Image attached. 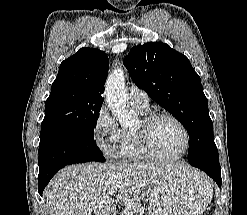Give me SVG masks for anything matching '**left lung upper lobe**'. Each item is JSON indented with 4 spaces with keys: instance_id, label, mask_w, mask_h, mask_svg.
Segmentation results:
<instances>
[{
    "instance_id": "left-lung-upper-lobe-1",
    "label": "left lung upper lobe",
    "mask_w": 247,
    "mask_h": 215,
    "mask_svg": "<svg viewBox=\"0 0 247 215\" xmlns=\"http://www.w3.org/2000/svg\"><path fill=\"white\" fill-rule=\"evenodd\" d=\"M133 82L187 129L189 153L195 145L214 142L212 120L199 75L183 54L161 42L134 46L123 61Z\"/></svg>"
}]
</instances>
